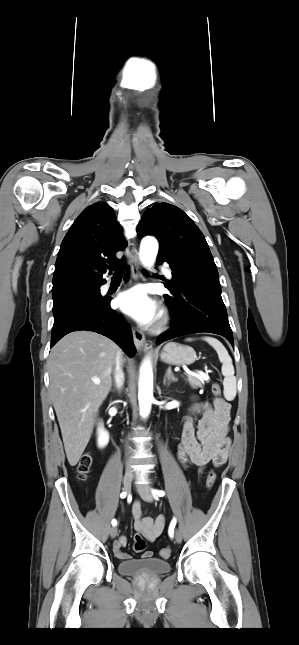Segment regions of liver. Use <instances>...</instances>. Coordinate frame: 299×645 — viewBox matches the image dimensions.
<instances>
[{
	"mask_svg": "<svg viewBox=\"0 0 299 645\" xmlns=\"http://www.w3.org/2000/svg\"><path fill=\"white\" fill-rule=\"evenodd\" d=\"M119 352L112 340L91 331L64 336L50 352L49 390L71 466L78 463L91 438Z\"/></svg>",
	"mask_w": 299,
	"mask_h": 645,
	"instance_id": "6515ba94",
	"label": "liver"
}]
</instances>
